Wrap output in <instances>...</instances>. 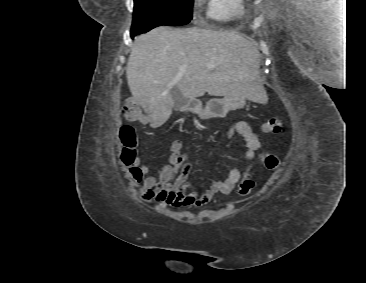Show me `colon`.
I'll list each match as a JSON object with an SVG mask.
<instances>
[{"label": "colon", "mask_w": 366, "mask_h": 283, "mask_svg": "<svg viewBox=\"0 0 366 283\" xmlns=\"http://www.w3.org/2000/svg\"><path fill=\"white\" fill-rule=\"evenodd\" d=\"M121 112L125 119H127L128 121H138L142 116L139 105L133 99H126L124 101ZM283 126V118L280 116H274L269 118L263 124L262 129L267 134H278L282 131ZM120 138L124 144L122 160L125 163H131L135 159V152L137 147V138L134 129L130 126L123 127L120 132ZM261 160L264 166L269 170H277L281 165L279 158L270 153H263L261 156ZM251 167L252 165L247 166V169L243 173L240 180L238 193L241 196L249 195L254 188L255 182L249 174V170Z\"/></svg>", "instance_id": "obj_1"}]
</instances>
